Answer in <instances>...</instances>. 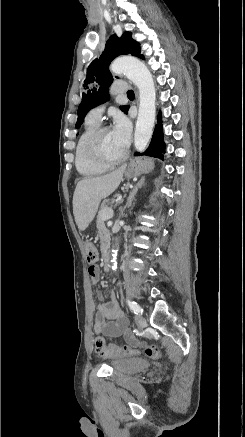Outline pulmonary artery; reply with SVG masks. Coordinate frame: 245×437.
Returning <instances> with one entry per match:
<instances>
[{
	"label": "pulmonary artery",
	"instance_id": "pulmonary-artery-1",
	"mask_svg": "<svg viewBox=\"0 0 245 437\" xmlns=\"http://www.w3.org/2000/svg\"><path fill=\"white\" fill-rule=\"evenodd\" d=\"M128 89H129V86L124 81H117L112 85V92L114 94H122V93L126 92ZM102 112H103L102 106L95 107L88 112L87 119L99 123L100 119H101Z\"/></svg>",
	"mask_w": 245,
	"mask_h": 437
}]
</instances>
